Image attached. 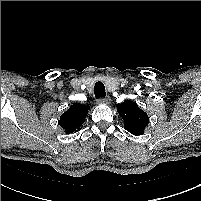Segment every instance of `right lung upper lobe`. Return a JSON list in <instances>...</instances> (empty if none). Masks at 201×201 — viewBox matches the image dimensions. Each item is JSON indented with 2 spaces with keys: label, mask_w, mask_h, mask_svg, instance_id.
<instances>
[{
  "label": "right lung upper lobe",
  "mask_w": 201,
  "mask_h": 201,
  "mask_svg": "<svg viewBox=\"0 0 201 201\" xmlns=\"http://www.w3.org/2000/svg\"><path fill=\"white\" fill-rule=\"evenodd\" d=\"M89 109L90 107L88 105L74 103L60 116L59 125L66 133H76L80 131Z\"/></svg>",
  "instance_id": "obj_1"
}]
</instances>
